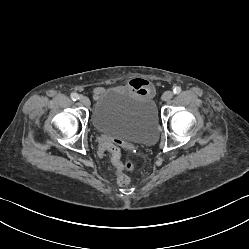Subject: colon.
Instances as JSON below:
<instances>
[{"mask_svg": "<svg viewBox=\"0 0 249 249\" xmlns=\"http://www.w3.org/2000/svg\"><path fill=\"white\" fill-rule=\"evenodd\" d=\"M102 152H111L112 161L116 169V181L120 186H126L129 184L130 179L124 173L125 171H131L134 167L131 161H120V149L116 145H112L108 142L101 143Z\"/></svg>", "mask_w": 249, "mask_h": 249, "instance_id": "5ec220e1", "label": "colon"}]
</instances>
